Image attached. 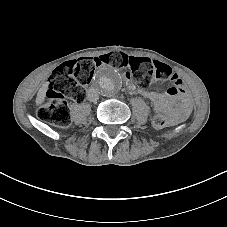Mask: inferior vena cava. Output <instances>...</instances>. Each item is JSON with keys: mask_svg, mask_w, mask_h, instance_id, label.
Returning <instances> with one entry per match:
<instances>
[{"mask_svg": "<svg viewBox=\"0 0 227 227\" xmlns=\"http://www.w3.org/2000/svg\"><path fill=\"white\" fill-rule=\"evenodd\" d=\"M88 100L91 102H96L99 99L98 91L95 88H89L87 91Z\"/></svg>", "mask_w": 227, "mask_h": 227, "instance_id": "inferior-vena-cava-1", "label": "inferior vena cava"}]
</instances>
